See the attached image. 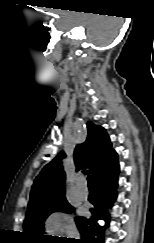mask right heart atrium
Here are the masks:
<instances>
[{
  "label": "right heart atrium",
  "mask_w": 154,
  "mask_h": 243,
  "mask_svg": "<svg viewBox=\"0 0 154 243\" xmlns=\"http://www.w3.org/2000/svg\"><path fill=\"white\" fill-rule=\"evenodd\" d=\"M45 228L49 232H66L70 226L63 220L60 213H53L46 218Z\"/></svg>",
  "instance_id": "right-heart-atrium-1"
}]
</instances>
